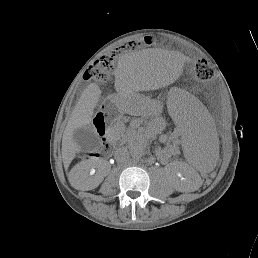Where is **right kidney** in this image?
<instances>
[{
    "label": "right kidney",
    "mask_w": 258,
    "mask_h": 258,
    "mask_svg": "<svg viewBox=\"0 0 258 258\" xmlns=\"http://www.w3.org/2000/svg\"><path fill=\"white\" fill-rule=\"evenodd\" d=\"M100 165H101V160H100V159H96V160L93 162V164H92V168H99ZM89 171H90L89 169H85V173H86L87 175L89 174ZM92 172H93V171H92ZM79 173H80V171H78V170H75V171H74L75 177H76L77 179H82L83 177L79 176ZM98 185H99V182H95V183L90 187V189H94V188H96Z\"/></svg>",
    "instance_id": "1"
}]
</instances>
